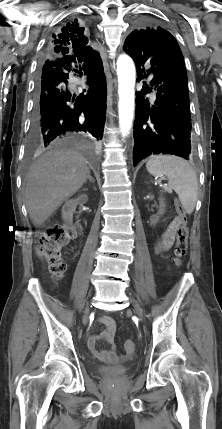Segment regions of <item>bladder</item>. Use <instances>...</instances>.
I'll return each instance as SVG.
<instances>
[{
    "mask_svg": "<svg viewBox=\"0 0 222 429\" xmlns=\"http://www.w3.org/2000/svg\"><path fill=\"white\" fill-rule=\"evenodd\" d=\"M130 365L126 366H97L96 371L102 377L120 378L128 374Z\"/></svg>",
    "mask_w": 222,
    "mask_h": 429,
    "instance_id": "31cf9c89",
    "label": "bladder"
}]
</instances>
